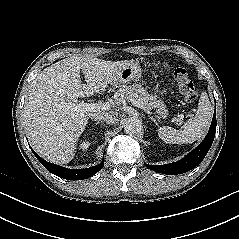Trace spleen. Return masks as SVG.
Instances as JSON below:
<instances>
[{
    "label": "spleen",
    "instance_id": "spleen-1",
    "mask_svg": "<svg viewBox=\"0 0 239 239\" xmlns=\"http://www.w3.org/2000/svg\"><path fill=\"white\" fill-rule=\"evenodd\" d=\"M213 115L211 105L206 92H202L198 103V110L194 117L190 118L181 130L169 126L158 129L159 137L169 144L193 143L200 139L210 126Z\"/></svg>",
    "mask_w": 239,
    "mask_h": 239
}]
</instances>
